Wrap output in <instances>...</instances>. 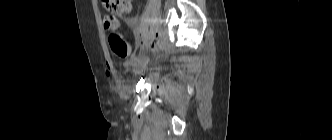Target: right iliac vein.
I'll use <instances>...</instances> for the list:
<instances>
[{"label": "right iliac vein", "mask_w": 332, "mask_h": 140, "mask_svg": "<svg viewBox=\"0 0 332 140\" xmlns=\"http://www.w3.org/2000/svg\"><path fill=\"white\" fill-rule=\"evenodd\" d=\"M149 59L147 56L140 57L133 65V70L137 71L143 67H145L148 63Z\"/></svg>", "instance_id": "63e3f726"}]
</instances>
